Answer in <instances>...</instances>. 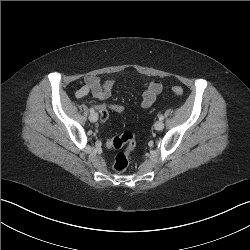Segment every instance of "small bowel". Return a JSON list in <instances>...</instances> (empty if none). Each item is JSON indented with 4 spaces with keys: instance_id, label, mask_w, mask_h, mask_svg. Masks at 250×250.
Segmentation results:
<instances>
[{
    "instance_id": "1",
    "label": "small bowel",
    "mask_w": 250,
    "mask_h": 250,
    "mask_svg": "<svg viewBox=\"0 0 250 250\" xmlns=\"http://www.w3.org/2000/svg\"><path fill=\"white\" fill-rule=\"evenodd\" d=\"M114 84V79H107L101 82L97 76L88 75L84 78L83 86L76 91V96L82 98L90 93L96 99L106 100L111 96ZM161 91L162 84L159 81L151 80L145 82L141 101L142 106L148 108L153 105ZM101 108L102 106L99 107V111Z\"/></svg>"
}]
</instances>
